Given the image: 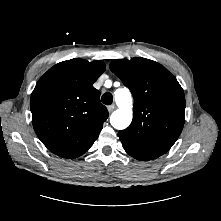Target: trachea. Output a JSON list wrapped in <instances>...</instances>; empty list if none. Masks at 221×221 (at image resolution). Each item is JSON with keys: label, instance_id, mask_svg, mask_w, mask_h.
I'll return each mask as SVG.
<instances>
[{"label": "trachea", "instance_id": "1", "mask_svg": "<svg viewBox=\"0 0 221 221\" xmlns=\"http://www.w3.org/2000/svg\"><path fill=\"white\" fill-rule=\"evenodd\" d=\"M101 100H102V103H104L105 105H111L113 102V96L111 93L107 92L102 95Z\"/></svg>", "mask_w": 221, "mask_h": 221}]
</instances>
